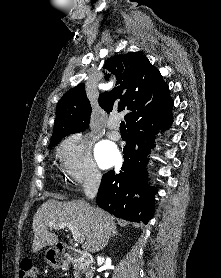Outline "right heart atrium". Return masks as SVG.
Returning <instances> with one entry per match:
<instances>
[{"mask_svg": "<svg viewBox=\"0 0 221 278\" xmlns=\"http://www.w3.org/2000/svg\"><path fill=\"white\" fill-rule=\"evenodd\" d=\"M61 166L76 184L97 183L101 174L94 162L89 139L80 132L70 134L58 146Z\"/></svg>", "mask_w": 221, "mask_h": 278, "instance_id": "1", "label": "right heart atrium"}]
</instances>
